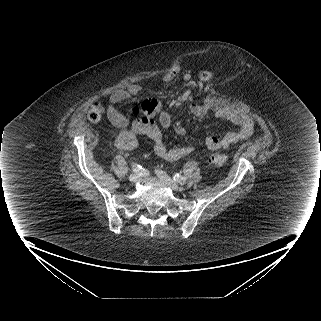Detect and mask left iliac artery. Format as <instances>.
<instances>
[{"label":"left iliac artery","mask_w":321,"mask_h":321,"mask_svg":"<svg viewBox=\"0 0 321 321\" xmlns=\"http://www.w3.org/2000/svg\"><path fill=\"white\" fill-rule=\"evenodd\" d=\"M174 181L180 183V184H185L186 183V179L185 177L179 175V174H175L173 177Z\"/></svg>","instance_id":"44dca946"}]
</instances>
